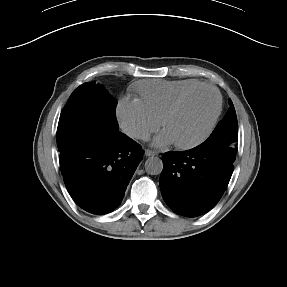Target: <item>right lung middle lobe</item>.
I'll return each instance as SVG.
<instances>
[{
	"label": "right lung middle lobe",
	"mask_w": 287,
	"mask_h": 287,
	"mask_svg": "<svg viewBox=\"0 0 287 287\" xmlns=\"http://www.w3.org/2000/svg\"><path fill=\"white\" fill-rule=\"evenodd\" d=\"M116 105V99L101 84L87 82L75 89L60 115L57 128L59 152H65L93 130H119Z\"/></svg>",
	"instance_id": "obj_1"
}]
</instances>
